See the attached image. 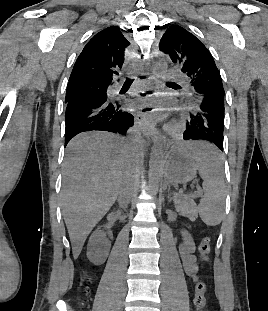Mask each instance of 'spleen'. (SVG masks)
I'll list each match as a JSON object with an SVG mask.
<instances>
[{"label":"spleen","instance_id":"3e777b00","mask_svg":"<svg viewBox=\"0 0 268 311\" xmlns=\"http://www.w3.org/2000/svg\"><path fill=\"white\" fill-rule=\"evenodd\" d=\"M185 145L192 147V157L203 179L204 195L198 205L199 215L206 225H219L226 196L220 148L218 144H207L206 140H186Z\"/></svg>","mask_w":268,"mask_h":311}]
</instances>
